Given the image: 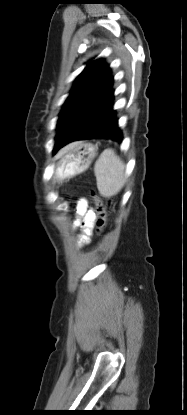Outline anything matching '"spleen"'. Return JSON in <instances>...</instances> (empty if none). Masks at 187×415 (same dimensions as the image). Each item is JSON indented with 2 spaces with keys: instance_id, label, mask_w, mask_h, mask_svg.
I'll return each instance as SVG.
<instances>
[{
  "instance_id": "1",
  "label": "spleen",
  "mask_w": 187,
  "mask_h": 415,
  "mask_svg": "<svg viewBox=\"0 0 187 415\" xmlns=\"http://www.w3.org/2000/svg\"><path fill=\"white\" fill-rule=\"evenodd\" d=\"M99 193L106 198L117 195L126 181L125 165L114 150L106 149L94 166Z\"/></svg>"
}]
</instances>
